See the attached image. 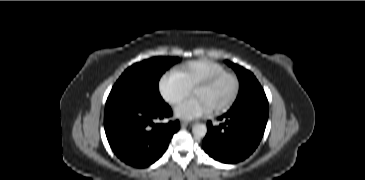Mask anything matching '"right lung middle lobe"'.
<instances>
[{"mask_svg":"<svg viewBox=\"0 0 365 180\" xmlns=\"http://www.w3.org/2000/svg\"><path fill=\"white\" fill-rule=\"evenodd\" d=\"M176 62V58L155 57L130 66L113 85L105 108L132 101H163L159 93V80Z\"/></svg>","mask_w":365,"mask_h":180,"instance_id":"right-lung-middle-lobe-1","label":"right lung middle lobe"}]
</instances>
